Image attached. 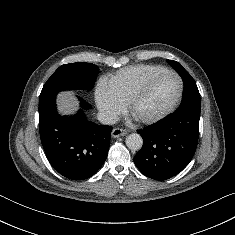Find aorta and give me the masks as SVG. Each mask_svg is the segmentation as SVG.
Wrapping results in <instances>:
<instances>
[{
    "label": "aorta",
    "mask_w": 235,
    "mask_h": 235,
    "mask_svg": "<svg viewBox=\"0 0 235 235\" xmlns=\"http://www.w3.org/2000/svg\"><path fill=\"white\" fill-rule=\"evenodd\" d=\"M126 145L131 150H140L143 145L142 137L137 133H131L126 137Z\"/></svg>",
    "instance_id": "1"
}]
</instances>
